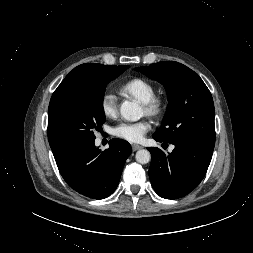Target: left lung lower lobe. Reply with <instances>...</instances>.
<instances>
[{
	"instance_id": "0a47b994",
	"label": "left lung lower lobe",
	"mask_w": 253,
	"mask_h": 253,
	"mask_svg": "<svg viewBox=\"0 0 253 253\" xmlns=\"http://www.w3.org/2000/svg\"><path fill=\"white\" fill-rule=\"evenodd\" d=\"M156 141L166 142L153 136ZM175 146L166 155L159 148L150 147L149 177L155 192L167 199H177L194 190L205 176L214 147L185 140L171 142Z\"/></svg>"
}]
</instances>
